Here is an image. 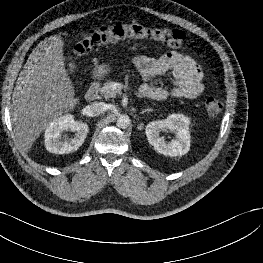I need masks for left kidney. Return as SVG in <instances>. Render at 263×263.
<instances>
[{"label":"left kidney","instance_id":"left-kidney-1","mask_svg":"<svg viewBox=\"0 0 263 263\" xmlns=\"http://www.w3.org/2000/svg\"><path fill=\"white\" fill-rule=\"evenodd\" d=\"M189 123V118L182 114H172L165 120L152 121L145 129L148 142L163 155L170 157L184 155L190 149ZM168 130L176 132V139L170 142L160 136L161 131Z\"/></svg>","mask_w":263,"mask_h":263}]
</instances>
